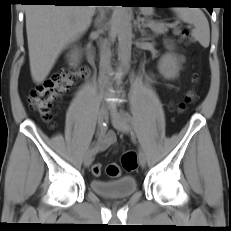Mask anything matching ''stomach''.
<instances>
[{"label": "stomach", "mask_w": 231, "mask_h": 231, "mask_svg": "<svg viewBox=\"0 0 231 231\" xmlns=\"http://www.w3.org/2000/svg\"><path fill=\"white\" fill-rule=\"evenodd\" d=\"M142 11H143L144 13H147V10H145V9H143Z\"/></svg>", "instance_id": "stomach-1"}]
</instances>
